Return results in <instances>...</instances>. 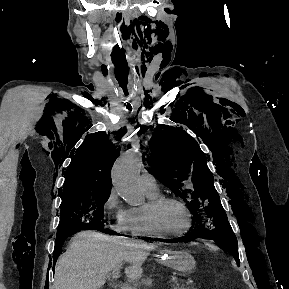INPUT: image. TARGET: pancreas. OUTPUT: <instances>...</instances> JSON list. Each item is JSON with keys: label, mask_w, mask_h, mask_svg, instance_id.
Segmentation results:
<instances>
[{"label": "pancreas", "mask_w": 289, "mask_h": 289, "mask_svg": "<svg viewBox=\"0 0 289 289\" xmlns=\"http://www.w3.org/2000/svg\"><path fill=\"white\" fill-rule=\"evenodd\" d=\"M174 289H196V288L184 284L175 283Z\"/></svg>", "instance_id": "obj_1"}]
</instances>
